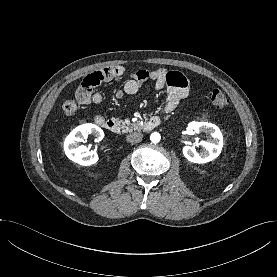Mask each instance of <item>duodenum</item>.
I'll use <instances>...</instances> for the list:
<instances>
[{
  "label": "duodenum",
  "mask_w": 277,
  "mask_h": 277,
  "mask_svg": "<svg viewBox=\"0 0 277 277\" xmlns=\"http://www.w3.org/2000/svg\"><path fill=\"white\" fill-rule=\"evenodd\" d=\"M100 127L106 129L112 133H118L120 131L119 125L112 119L102 118L96 122ZM160 124V118L157 116L151 117L144 123V130L150 131Z\"/></svg>",
  "instance_id": "duodenum-1"
}]
</instances>
